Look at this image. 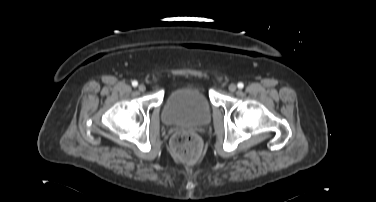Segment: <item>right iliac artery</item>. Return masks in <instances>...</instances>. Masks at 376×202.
Segmentation results:
<instances>
[{"instance_id":"82829eb1","label":"right iliac artery","mask_w":376,"mask_h":202,"mask_svg":"<svg viewBox=\"0 0 376 202\" xmlns=\"http://www.w3.org/2000/svg\"><path fill=\"white\" fill-rule=\"evenodd\" d=\"M138 85V82L136 80L132 81V86L136 87Z\"/></svg>"}]
</instances>
